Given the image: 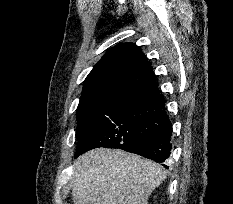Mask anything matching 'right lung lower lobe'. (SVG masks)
<instances>
[{"label": "right lung lower lobe", "instance_id": "right-lung-lower-lobe-1", "mask_svg": "<svg viewBox=\"0 0 233 204\" xmlns=\"http://www.w3.org/2000/svg\"><path fill=\"white\" fill-rule=\"evenodd\" d=\"M152 103L158 109L160 115L167 120V126L155 134L121 144L117 148L139 154L157 162H164L171 153V123L168 116L165 114L164 100L162 97L158 96L152 100ZM93 148L96 147H91L90 145H82L77 147L75 156L77 157L78 155Z\"/></svg>", "mask_w": 233, "mask_h": 204}]
</instances>
